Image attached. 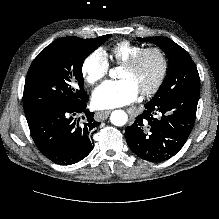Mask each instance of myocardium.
Returning a JSON list of instances; mask_svg holds the SVG:
<instances>
[{"mask_svg":"<svg viewBox=\"0 0 219 219\" xmlns=\"http://www.w3.org/2000/svg\"><path fill=\"white\" fill-rule=\"evenodd\" d=\"M149 53H155L158 55L160 58L161 67L155 82L150 87L139 91V93L145 97L155 94L161 88L166 79L169 69V60L165 51L158 46L145 47L122 64V67L126 69H134L139 64L141 59Z\"/></svg>","mask_w":219,"mask_h":219,"instance_id":"obj_1","label":"myocardium"}]
</instances>
